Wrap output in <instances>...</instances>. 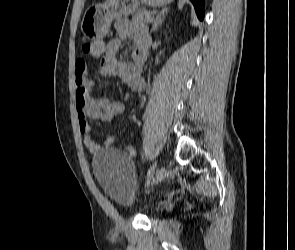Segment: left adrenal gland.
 Returning <instances> with one entry per match:
<instances>
[{"instance_id": "1", "label": "left adrenal gland", "mask_w": 295, "mask_h": 250, "mask_svg": "<svg viewBox=\"0 0 295 250\" xmlns=\"http://www.w3.org/2000/svg\"><path fill=\"white\" fill-rule=\"evenodd\" d=\"M168 12H169V9H165L162 12H160L159 14H157V16L153 22L151 33L156 31L158 29V27L162 25Z\"/></svg>"}]
</instances>
